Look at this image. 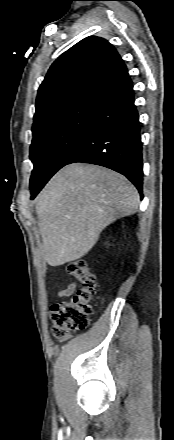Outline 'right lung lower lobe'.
Returning <instances> with one entry per match:
<instances>
[{
  "instance_id": "obj_1",
  "label": "right lung lower lobe",
  "mask_w": 174,
  "mask_h": 440,
  "mask_svg": "<svg viewBox=\"0 0 174 440\" xmlns=\"http://www.w3.org/2000/svg\"><path fill=\"white\" fill-rule=\"evenodd\" d=\"M91 123L74 156L82 162L110 168L126 176L143 197L142 142L133 85L127 74L97 94ZM45 184L31 190L32 199Z\"/></svg>"
}]
</instances>
